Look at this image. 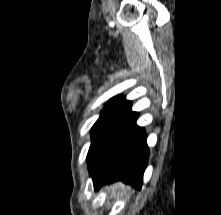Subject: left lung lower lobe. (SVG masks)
Segmentation results:
<instances>
[{"mask_svg": "<svg viewBox=\"0 0 221 215\" xmlns=\"http://www.w3.org/2000/svg\"><path fill=\"white\" fill-rule=\"evenodd\" d=\"M137 117L130 106L109 129L90 169L95 190L119 180L141 188L149 149L144 128L136 125Z\"/></svg>", "mask_w": 221, "mask_h": 215, "instance_id": "left-lung-lower-lobe-1", "label": "left lung lower lobe"}]
</instances>
